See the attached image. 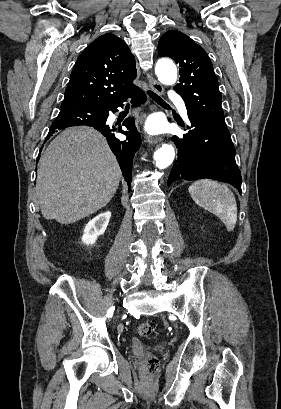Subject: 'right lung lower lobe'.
Masks as SVG:
<instances>
[{
  "mask_svg": "<svg viewBox=\"0 0 281 409\" xmlns=\"http://www.w3.org/2000/svg\"><path fill=\"white\" fill-rule=\"evenodd\" d=\"M128 98H132L133 104H139L146 100V95L142 90L138 89L131 96L111 103L90 107H61L59 116L86 118L89 122L85 125L94 127L106 137L111 150L117 157L123 176L130 189L132 177V158L140 145V136L136 130L134 119L128 118L122 124V126L126 127L129 131H124L121 125H108L106 123L109 112L114 113L118 111L117 107H122L123 102ZM58 129L61 128H50L46 140ZM118 133L126 135V140L117 138Z\"/></svg>",
  "mask_w": 281,
  "mask_h": 409,
  "instance_id": "98d812e1",
  "label": "right lung lower lobe"
}]
</instances>
